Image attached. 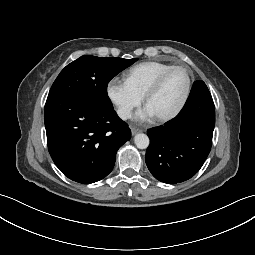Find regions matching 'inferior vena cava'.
<instances>
[{"label": "inferior vena cava", "mask_w": 255, "mask_h": 255, "mask_svg": "<svg viewBox=\"0 0 255 255\" xmlns=\"http://www.w3.org/2000/svg\"><path fill=\"white\" fill-rule=\"evenodd\" d=\"M118 115L121 119L126 120L131 117V111L128 109H120L118 110Z\"/></svg>", "instance_id": "602c4592"}]
</instances>
